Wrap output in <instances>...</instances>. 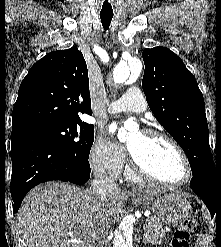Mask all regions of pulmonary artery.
Wrapping results in <instances>:
<instances>
[{"label":"pulmonary artery","mask_w":221,"mask_h":247,"mask_svg":"<svg viewBox=\"0 0 221 247\" xmlns=\"http://www.w3.org/2000/svg\"><path fill=\"white\" fill-rule=\"evenodd\" d=\"M147 109L146 100L137 87H130L122 98L113 102L108 107L110 114L121 112L142 113Z\"/></svg>","instance_id":"e3ab8cb5"}]
</instances>
